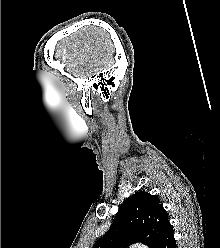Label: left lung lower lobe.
Instances as JSON below:
<instances>
[{
	"instance_id": "0a47b994",
	"label": "left lung lower lobe",
	"mask_w": 220,
	"mask_h": 248,
	"mask_svg": "<svg viewBox=\"0 0 220 248\" xmlns=\"http://www.w3.org/2000/svg\"><path fill=\"white\" fill-rule=\"evenodd\" d=\"M155 248H176L172 226H168Z\"/></svg>"
}]
</instances>
